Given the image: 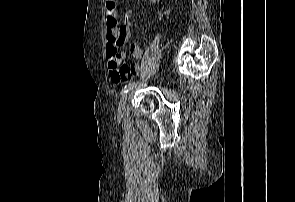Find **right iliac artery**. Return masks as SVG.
<instances>
[{
  "mask_svg": "<svg viewBox=\"0 0 295 202\" xmlns=\"http://www.w3.org/2000/svg\"><path fill=\"white\" fill-rule=\"evenodd\" d=\"M135 85V83H129L127 85L124 86L123 90H122V94L129 92V90H131L133 88V86Z\"/></svg>",
  "mask_w": 295,
  "mask_h": 202,
  "instance_id": "obj_1",
  "label": "right iliac artery"
}]
</instances>
